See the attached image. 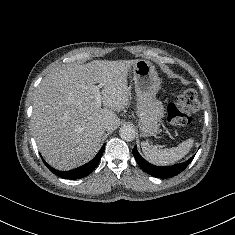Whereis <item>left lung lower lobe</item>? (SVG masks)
I'll return each instance as SVG.
<instances>
[{
    "instance_id": "1",
    "label": "left lung lower lobe",
    "mask_w": 235,
    "mask_h": 235,
    "mask_svg": "<svg viewBox=\"0 0 235 235\" xmlns=\"http://www.w3.org/2000/svg\"><path fill=\"white\" fill-rule=\"evenodd\" d=\"M133 155L135 157V160L139 164V166L148 174L157 177V178H170L173 176H176L177 174L181 173L193 160L194 156H192L189 160L186 162L176 164L173 166L168 167H159L150 164L147 162L144 158L140 156V154L137 151L136 146L133 149Z\"/></svg>"
}]
</instances>
